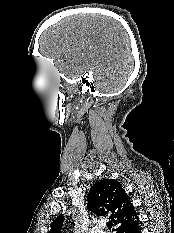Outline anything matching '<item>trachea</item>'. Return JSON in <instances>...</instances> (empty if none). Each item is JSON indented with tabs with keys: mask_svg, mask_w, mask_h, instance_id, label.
<instances>
[{
	"mask_svg": "<svg viewBox=\"0 0 174 233\" xmlns=\"http://www.w3.org/2000/svg\"><path fill=\"white\" fill-rule=\"evenodd\" d=\"M112 226H113V223H112L111 221L107 223V227H108V229H111V228H112Z\"/></svg>",
	"mask_w": 174,
	"mask_h": 233,
	"instance_id": "obj_1",
	"label": "trachea"
}]
</instances>
